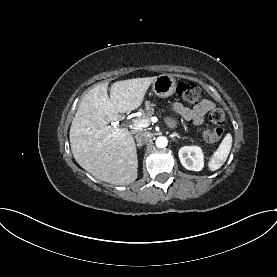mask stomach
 Masks as SVG:
<instances>
[{
	"label": "stomach",
	"mask_w": 277,
	"mask_h": 277,
	"mask_svg": "<svg viewBox=\"0 0 277 277\" xmlns=\"http://www.w3.org/2000/svg\"><path fill=\"white\" fill-rule=\"evenodd\" d=\"M152 90L158 97H168L176 90V80L170 74L159 75L152 83Z\"/></svg>",
	"instance_id": "0dacf381"
}]
</instances>
